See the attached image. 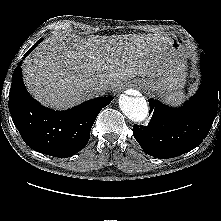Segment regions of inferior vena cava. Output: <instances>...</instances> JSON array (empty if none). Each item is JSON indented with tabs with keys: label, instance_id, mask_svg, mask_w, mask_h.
I'll use <instances>...</instances> for the list:
<instances>
[{
	"label": "inferior vena cava",
	"instance_id": "1",
	"mask_svg": "<svg viewBox=\"0 0 221 221\" xmlns=\"http://www.w3.org/2000/svg\"><path fill=\"white\" fill-rule=\"evenodd\" d=\"M110 89L109 84L106 81H99L92 86V90L97 95H103Z\"/></svg>",
	"mask_w": 221,
	"mask_h": 221
}]
</instances>
